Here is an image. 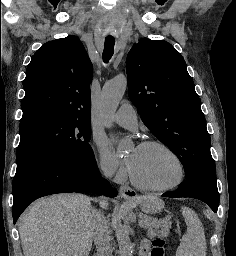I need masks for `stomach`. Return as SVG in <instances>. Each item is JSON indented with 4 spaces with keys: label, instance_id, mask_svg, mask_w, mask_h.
Instances as JSON below:
<instances>
[{
    "label": "stomach",
    "instance_id": "1",
    "mask_svg": "<svg viewBox=\"0 0 236 256\" xmlns=\"http://www.w3.org/2000/svg\"><path fill=\"white\" fill-rule=\"evenodd\" d=\"M143 212L148 214L159 213L163 209V201L155 197H143L138 202Z\"/></svg>",
    "mask_w": 236,
    "mask_h": 256
}]
</instances>
